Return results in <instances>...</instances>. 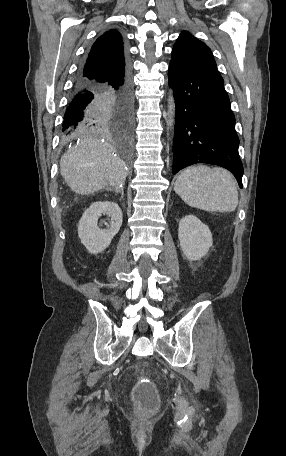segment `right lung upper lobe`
<instances>
[{
  "instance_id": "obj_1",
  "label": "right lung upper lobe",
  "mask_w": 286,
  "mask_h": 456,
  "mask_svg": "<svg viewBox=\"0 0 286 456\" xmlns=\"http://www.w3.org/2000/svg\"><path fill=\"white\" fill-rule=\"evenodd\" d=\"M81 70L100 82L128 72L122 37L117 30L111 29L95 41Z\"/></svg>"
}]
</instances>
